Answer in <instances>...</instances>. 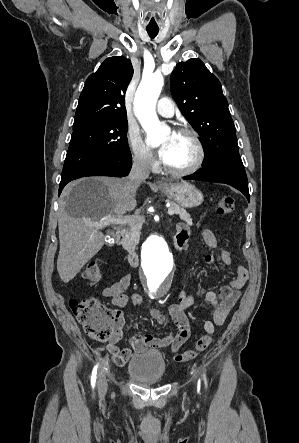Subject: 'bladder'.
I'll use <instances>...</instances> for the list:
<instances>
[{
	"label": "bladder",
	"instance_id": "bladder-1",
	"mask_svg": "<svg viewBox=\"0 0 299 443\" xmlns=\"http://www.w3.org/2000/svg\"><path fill=\"white\" fill-rule=\"evenodd\" d=\"M127 373L137 384L153 386L162 382L166 363L157 350H148L133 355L126 366Z\"/></svg>",
	"mask_w": 299,
	"mask_h": 443
}]
</instances>
